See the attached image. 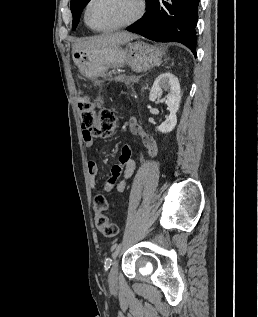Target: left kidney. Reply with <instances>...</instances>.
<instances>
[{"instance_id":"1","label":"left kidney","mask_w":258,"mask_h":317,"mask_svg":"<svg viewBox=\"0 0 258 317\" xmlns=\"http://www.w3.org/2000/svg\"><path fill=\"white\" fill-rule=\"evenodd\" d=\"M161 90H167L168 92L165 102L168 106V110H170V114L166 116V120H164L160 126H156V128L160 130V132H170L177 124L176 112L181 100L180 82L177 76L172 74V72H162V74H159L153 82L149 100L159 98Z\"/></svg>"}]
</instances>
